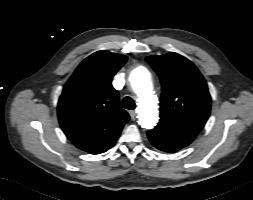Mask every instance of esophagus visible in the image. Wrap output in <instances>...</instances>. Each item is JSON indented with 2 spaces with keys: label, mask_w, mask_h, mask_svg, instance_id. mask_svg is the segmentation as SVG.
<instances>
[{
  "label": "esophagus",
  "mask_w": 253,
  "mask_h": 200,
  "mask_svg": "<svg viewBox=\"0 0 253 200\" xmlns=\"http://www.w3.org/2000/svg\"><path fill=\"white\" fill-rule=\"evenodd\" d=\"M129 114H130V117H131L132 120H135V119H136V117H137V116H136V115H137V114H136V111L131 110V111L129 112Z\"/></svg>",
  "instance_id": "obj_1"
}]
</instances>
